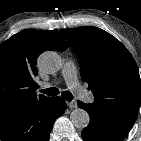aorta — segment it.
Returning a JSON list of instances; mask_svg holds the SVG:
<instances>
[{"label":"aorta","mask_w":141,"mask_h":141,"mask_svg":"<svg viewBox=\"0 0 141 141\" xmlns=\"http://www.w3.org/2000/svg\"><path fill=\"white\" fill-rule=\"evenodd\" d=\"M38 66L42 71L54 74L61 68V58L54 51L43 52L38 58ZM70 120L76 128L82 130L89 125L90 117L85 110L75 108L70 113Z\"/></svg>","instance_id":"1"}]
</instances>
